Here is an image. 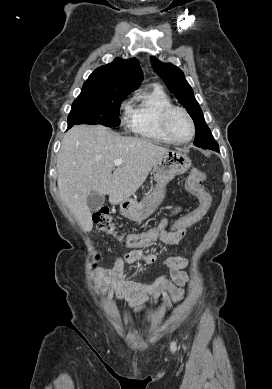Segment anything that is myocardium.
<instances>
[{
	"mask_svg": "<svg viewBox=\"0 0 272 389\" xmlns=\"http://www.w3.org/2000/svg\"><path fill=\"white\" fill-rule=\"evenodd\" d=\"M175 111L182 112L189 121V124L191 127V135L188 139L179 140L176 137H174L170 131L169 118H170L171 114ZM160 126H161V129L164 132V134L171 140V142H174L177 144L189 143L194 138V136L196 134L195 123H194L192 116L184 107L177 106V105H171L163 110V112L161 113V116H160Z\"/></svg>",
	"mask_w": 272,
	"mask_h": 389,
	"instance_id": "myocardium-1",
	"label": "myocardium"
}]
</instances>
